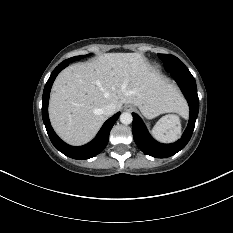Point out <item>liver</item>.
I'll list each match as a JSON object with an SVG mask.
<instances>
[{
  "instance_id": "6515ba94",
  "label": "liver",
  "mask_w": 233,
  "mask_h": 233,
  "mask_svg": "<svg viewBox=\"0 0 233 233\" xmlns=\"http://www.w3.org/2000/svg\"><path fill=\"white\" fill-rule=\"evenodd\" d=\"M137 106L148 118L186 111L176 88L152 71L139 53H106L69 66L56 78L49 117L56 133L75 146L89 142L107 119L102 108L114 104Z\"/></svg>"
}]
</instances>
